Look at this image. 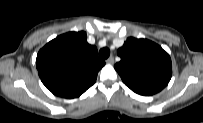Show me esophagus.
Returning a JSON list of instances; mask_svg holds the SVG:
<instances>
[{"label": "esophagus", "mask_w": 203, "mask_h": 123, "mask_svg": "<svg viewBox=\"0 0 203 123\" xmlns=\"http://www.w3.org/2000/svg\"><path fill=\"white\" fill-rule=\"evenodd\" d=\"M107 64H113L114 63V58L111 56L106 60Z\"/></svg>", "instance_id": "34e87169"}]
</instances>
